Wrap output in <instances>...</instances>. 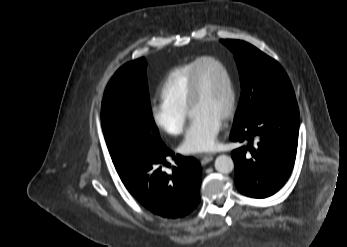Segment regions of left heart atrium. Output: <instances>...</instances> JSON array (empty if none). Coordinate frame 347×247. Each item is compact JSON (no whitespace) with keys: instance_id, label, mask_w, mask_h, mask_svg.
Segmentation results:
<instances>
[{"instance_id":"1","label":"left heart atrium","mask_w":347,"mask_h":247,"mask_svg":"<svg viewBox=\"0 0 347 247\" xmlns=\"http://www.w3.org/2000/svg\"><path fill=\"white\" fill-rule=\"evenodd\" d=\"M222 128V119L201 114L192 121L180 144V151L185 155H193L211 150Z\"/></svg>"}]
</instances>
